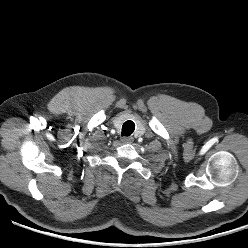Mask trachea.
Masks as SVG:
<instances>
[{
  "instance_id": "obj_1",
  "label": "trachea",
  "mask_w": 248,
  "mask_h": 248,
  "mask_svg": "<svg viewBox=\"0 0 248 248\" xmlns=\"http://www.w3.org/2000/svg\"><path fill=\"white\" fill-rule=\"evenodd\" d=\"M135 130V124L133 121L128 120L122 126V136H130Z\"/></svg>"
}]
</instances>
